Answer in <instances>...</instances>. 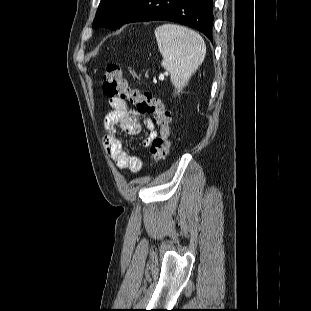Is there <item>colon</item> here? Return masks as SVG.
<instances>
[{
    "label": "colon",
    "mask_w": 311,
    "mask_h": 311,
    "mask_svg": "<svg viewBox=\"0 0 311 311\" xmlns=\"http://www.w3.org/2000/svg\"><path fill=\"white\" fill-rule=\"evenodd\" d=\"M102 81L103 92L106 97L132 103L140 113L153 115V120L159 127V135L150 144V158L152 163L163 160L167 156L170 146V112L152 93L140 92L129 87L121 67L116 63H110L106 66Z\"/></svg>",
    "instance_id": "obj_1"
}]
</instances>
